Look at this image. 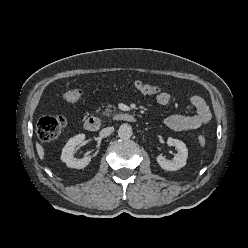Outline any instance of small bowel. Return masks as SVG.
Returning a JSON list of instances; mask_svg holds the SVG:
<instances>
[{
	"label": "small bowel",
	"instance_id": "1",
	"mask_svg": "<svg viewBox=\"0 0 248 248\" xmlns=\"http://www.w3.org/2000/svg\"><path fill=\"white\" fill-rule=\"evenodd\" d=\"M171 95L162 91L157 97V103L165 106L170 102ZM190 103L195 109V114L191 116L170 115L164 119V124L173 130H194L208 124L212 118L211 111L205 100L198 95H192L189 98Z\"/></svg>",
	"mask_w": 248,
	"mask_h": 248
}]
</instances>
